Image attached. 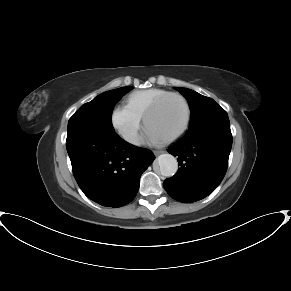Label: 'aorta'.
<instances>
[{
	"mask_svg": "<svg viewBox=\"0 0 291 291\" xmlns=\"http://www.w3.org/2000/svg\"><path fill=\"white\" fill-rule=\"evenodd\" d=\"M160 172L165 177H172L178 170V162L171 154H162L157 159Z\"/></svg>",
	"mask_w": 291,
	"mask_h": 291,
	"instance_id": "762f6f07",
	"label": "aorta"
}]
</instances>
